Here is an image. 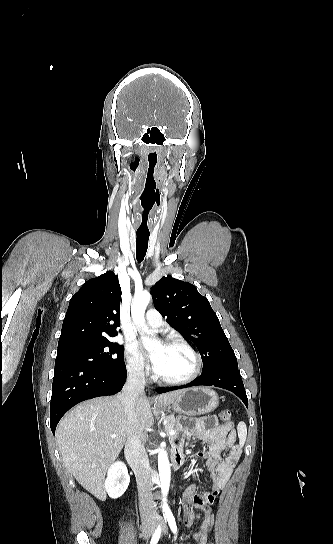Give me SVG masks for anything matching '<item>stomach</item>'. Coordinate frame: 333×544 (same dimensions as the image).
<instances>
[{"instance_id":"stomach-1","label":"stomach","mask_w":333,"mask_h":544,"mask_svg":"<svg viewBox=\"0 0 333 544\" xmlns=\"http://www.w3.org/2000/svg\"><path fill=\"white\" fill-rule=\"evenodd\" d=\"M219 405L215 391L207 387H195L184 390L173 402L176 412L188 416L202 415L212 412Z\"/></svg>"}]
</instances>
